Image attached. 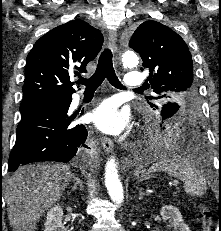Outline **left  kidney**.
<instances>
[{
  "label": "left kidney",
  "instance_id": "left-kidney-1",
  "mask_svg": "<svg viewBox=\"0 0 221 231\" xmlns=\"http://www.w3.org/2000/svg\"><path fill=\"white\" fill-rule=\"evenodd\" d=\"M160 214L164 221H169V226L172 227L174 231H191L188 225L185 224L180 211L175 206H163L160 211Z\"/></svg>",
  "mask_w": 221,
  "mask_h": 231
}]
</instances>
